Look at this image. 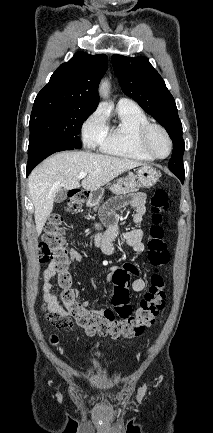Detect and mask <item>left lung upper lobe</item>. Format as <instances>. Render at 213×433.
Segmentation results:
<instances>
[{"label":"left lung upper lobe","mask_w":213,"mask_h":433,"mask_svg":"<svg viewBox=\"0 0 213 433\" xmlns=\"http://www.w3.org/2000/svg\"><path fill=\"white\" fill-rule=\"evenodd\" d=\"M122 91L132 97L148 114L168 132L173 142L169 169L176 175L185 176L182 124L173 96L163 78L149 63L148 58H130L114 54L111 57Z\"/></svg>","instance_id":"5c2ea615"}]
</instances>
